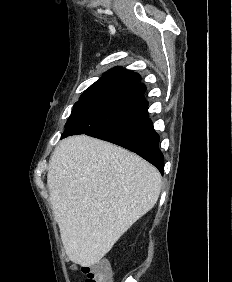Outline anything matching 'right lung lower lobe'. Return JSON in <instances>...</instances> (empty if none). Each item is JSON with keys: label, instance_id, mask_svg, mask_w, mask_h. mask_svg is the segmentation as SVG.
<instances>
[{"label": "right lung lower lobe", "instance_id": "obj_1", "mask_svg": "<svg viewBox=\"0 0 232 282\" xmlns=\"http://www.w3.org/2000/svg\"><path fill=\"white\" fill-rule=\"evenodd\" d=\"M89 136L114 143L135 152L153 164L163 174L164 159L158 146L160 138L154 131L149 116L122 127L97 131Z\"/></svg>", "mask_w": 232, "mask_h": 282}]
</instances>
